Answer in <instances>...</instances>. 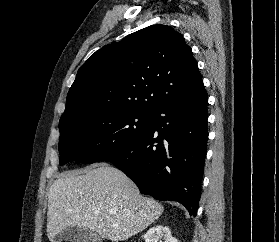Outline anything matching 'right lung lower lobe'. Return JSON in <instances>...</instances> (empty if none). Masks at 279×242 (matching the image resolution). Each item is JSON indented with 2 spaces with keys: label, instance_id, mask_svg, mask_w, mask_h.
Instances as JSON below:
<instances>
[{
  "label": "right lung lower lobe",
  "instance_id": "right-lung-lower-lobe-1",
  "mask_svg": "<svg viewBox=\"0 0 279 242\" xmlns=\"http://www.w3.org/2000/svg\"><path fill=\"white\" fill-rule=\"evenodd\" d=\"M205 89L153 112L147 133L103 161L122 170L142 194L177 201L196 216L208 140Z\"/></svg>",
  "mask_w": 279,
  "mask_h": 242
}]
</instances>
